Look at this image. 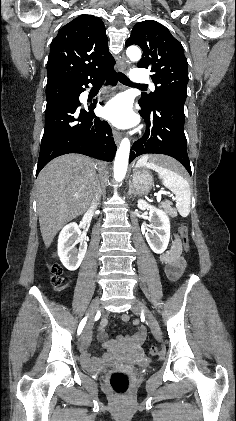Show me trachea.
<instances>
[{
    "mask_svg": "<svg viewBox=\"0 0 236 421\" xmlns=\"http://www.w3.org/2000/svg\"><path fill=\"white\" fill-rule=\"evenodd\" d=\"M117 78L119 80V82L123 83V85H128V86H135V87H143L141 89H147L146 85H143L141 83H133L131 82V80H129L128 77H126V75H124V73H118L117 74ZM100 83H103V81H100Z\"/></svg>",
    "mask_w": 236,
    "mask_h": 421,
    "instance_id": "obj_1",
    "label": "trachea"
}]
</instances>
